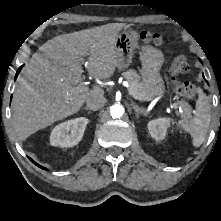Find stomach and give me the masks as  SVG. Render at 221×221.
I'll return each instance as SVG.
<instances>
[{"instance_id": "0dacf381", "label": "stomach", "mask_w": 221, "mask_h": 221, "mask_svg": "<svg viewBox=\"0 0 221 221\" xmlns=\"http://www.w3.org/2000/svg\"><path fill=\"white\" fill-rule=\"evenodd\" d=\"M115 51L117 67L127 68L132 62L135 48L138 46V33L131 28H124L115 40ZM142 63V83L146 89L147 100L160 97L165 93V85L160 69L164 62V55L161 50L151 46L143 45L140 52Z\"/></svg>"}]
</instances>
